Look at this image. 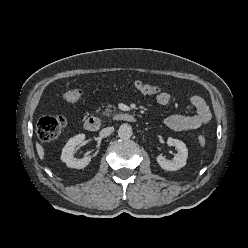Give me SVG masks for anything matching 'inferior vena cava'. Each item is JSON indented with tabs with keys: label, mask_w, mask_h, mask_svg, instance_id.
Listing matches in <instances>:
<instances>
[{
	"label": "inferior vena cava",
	"mask_w": 248,
	"mask_h": 248,
	"mask_svg": "<svg viewBox=\"0 0 248 248\" xmlns=\"http://www.w3.org/2000/svg\"><path fill=\"white\" fill-rule=\"evenodd\" d=\"M113 130H114L113 127H106L100 131L99 135L102 138L107 137L113 132Z\"/></svg>",
	"instance_id": "obj_1"
}]
</instances>
